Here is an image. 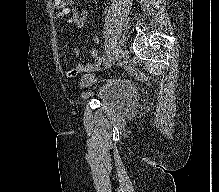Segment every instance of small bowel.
<instances>
[{
    "label": "small bowel",
    "instance_id": "small-bowel-1",
    "mask_svg": "<svg viewBox=\"0 0 219 192\" xmlns=\"http://www.w3.org/2000/svg\"><path fill=\"white\" fill-rule=\"evenodd\" d=\"M71 3H72V0H67V3L65 1L62 5L57 6L59 8L58 15L63 18V17L68 16L70 13H72V16L69 19V22L74 24V27L76 30L82 31L86 27L89 13L87 10H82L80 12H77L75 8L71 7ZM93 41L95 44H99L100 38L98 36H95ZM73 51L76 56H79L81 53L80 49L77 47H75ZM89 54H90V57L94 60L93 66H98L100 63L99 51L97 49H92ZM93 66L88 67V68H92Z\"/></svg>",
    "mask_w": 219,
    "mask_h": 192
}]
</instances>
